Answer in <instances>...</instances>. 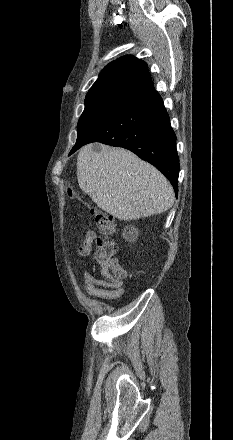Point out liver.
Masks as SVG:
<instances>
[{"mask_svg":"<svg viewBox=\"0 0 233 440\" xmlns=\"http://www.w3.org/2000/svg\"><path fill=\"white\" fill-rule=\"evenodd\" d=\"M77 179L99 208L124 221L163 213L174 203L166 177L123 148L84 146L77 157Z\"/></svg>","mask_w":233,"mask_h":440,"instance_id":"obj_1","label":"liver"}]
</instances>
